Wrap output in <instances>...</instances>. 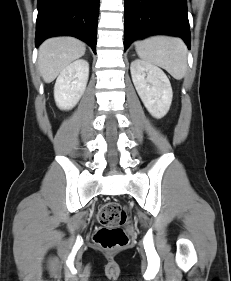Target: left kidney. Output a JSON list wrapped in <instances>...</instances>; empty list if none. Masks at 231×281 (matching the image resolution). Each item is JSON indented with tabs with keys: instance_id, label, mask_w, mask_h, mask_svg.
<instances>
[{
	"instance_id": "5707ae66",
	"label": "left kidney",
	"mask_w": 231,
	"mask_h": 281,
	"mask_svg": "<svg viewBox=\"0 0 231 281\" xmlns=\"http://www.w3.org/2000/svg\"><path fill=\"white\" fill-rule=\"evenodd\" d=\"M132 81L149 113L160 119L171 106L173 92L166 74L157 66L135 60L130 66Z\"/></svg>"
}]
</instances>
